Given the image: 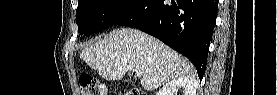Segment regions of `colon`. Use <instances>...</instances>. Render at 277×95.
<instances>
[{"label":"colon","instance_id":"obj_1","mask_svg":"<svg viewBox=\"0 0 277 95\" xmlns=\"http://www.w3.org/2000/svg\"><path fill=\"white\" fill-rule=\"evenodd\" d=\"M80 86L83 94L85 95H108L109 89L106 84L90 77V76H81L80 77ZM127 95H145L142 90L133 89L127 91Z\"/></svg>","mask_w":277,"mask_h":95}]
</instances>
